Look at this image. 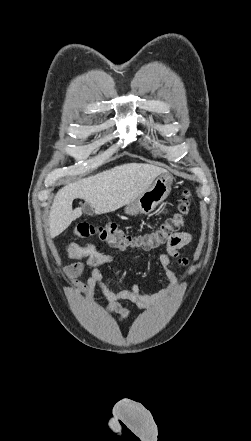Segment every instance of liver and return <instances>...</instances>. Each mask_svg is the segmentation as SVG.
I'll return each mask as SVG.
<instances>
[{
    "instance_id": "1",
    "label": "liver",
    "mask_w": 251,
    "mask_h": 441,
    "mask_svg": "<svg viewBox=\"0 0 251 441\" xmlns=\"http://www.w3.org/2000/svg\"><path fill=\"white\" fill-rule=\"evenodd\" d=\"M166 172L151 164L126 163L64 186L57 192L51 206V237L61 234L82 215L81 208L72 209L74 199L85 200L96 215L114 212L136 199Z\"/></svg>"
}]
</instances>
